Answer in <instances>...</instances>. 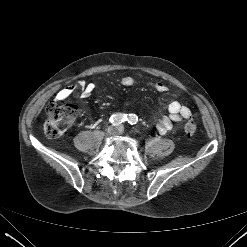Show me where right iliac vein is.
Here are the masks:
<instances>
[{"label":"right iliac vein","instance_id":"obj_1","mask_svg":"<svg viewBox=\"0 0 247 247\" xmlns=\"http://www.w3.org/2000/svg\"><path fill=\"white\" fill-rule=\"evenodd\" d=\"M109 135H115L117 133V128L114 126H110L107 130Z\"/></svg>","mask_w":247,"mask_h":247}]
</instances>
